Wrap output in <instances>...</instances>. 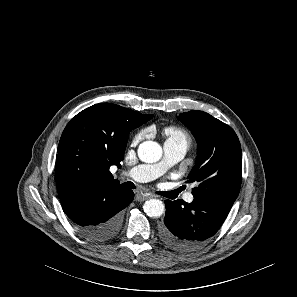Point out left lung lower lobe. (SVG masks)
<instances>
[{
	"label": "left lung lower lobe",
	"instance_id": "left-lung-lower-lobe-1",
	"mask_svg": "<svg viewBox=\"0 0 297 297\" xmlns=\"http://www.w3.org/2000/svg\"><path fill=\"white\" fill-rule=\"evenodd\" d=\"M235 199L194 198L166 200L164 224L160 236L164 244L177 251H192L213 236L226 219Z\"/></svg>",
	"mask_w": 297,
	"mask_h": 297
}]
</instances>
